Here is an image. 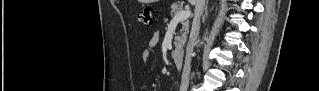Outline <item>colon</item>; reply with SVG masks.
<instances>
[{"label":"colon","mask_w":319,"mask_h":91,"mask_svg":"<svg viewBox=\"0 0 319 91\" xmlns=\"http://www.w3.org/2000/svg\"><path fill=\"white\" fill-rule=\"evenodd\" d=\"M139 19L147 27H152L154 24L153 10L150 7H145L139 14Z\"/></svg>","instance_id":"colon-1"}]
</instances>
